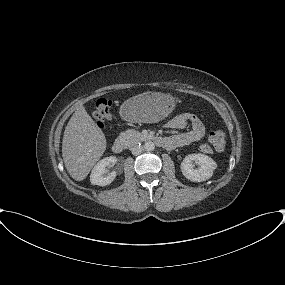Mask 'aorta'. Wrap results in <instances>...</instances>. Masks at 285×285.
I'll use <instances>...</instances> for the list:
<instances>
[{"mask_svg": "<svg viewBox=\"0 0 285 285\" xmlns=\"http://www.w3.org/2000/svg\"><path fill=\"white\" fill-rule=\"evenodd\" d=\"M144 149L147 151V152H151L155 149V145L152 141H147L145 144H144Z\"/></svg>", "mask_w": 285, "mask_h": 285, "instance_id": "aorta-1", "label": "aorta"}]
</instances>
